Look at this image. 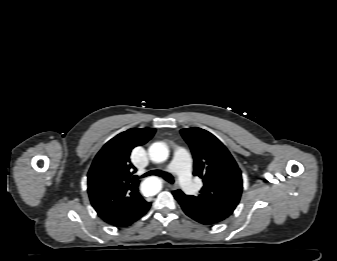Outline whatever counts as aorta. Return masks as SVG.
Listing matches in <instances>:
<instances>
[{
	"label": "aorta",
	"instance_id": "762f6f07",
	"mask_svg": "<svg viewBox=\"0 0 337 261\" xmlns=\"http://www.w3.org/2000/svg\"><path fill=\"white\" fill-rule=\"evenodd\" d=\"M149 157L153 162L161 163L167 160L169 150L165 143L155 142L149 147ZM161 181L157 177H149L141 184V191L146 196L156 195L161 190Z\"/></svg>",
	"mask_w": 337,
	"mask_h": 261
}]
</instances>
